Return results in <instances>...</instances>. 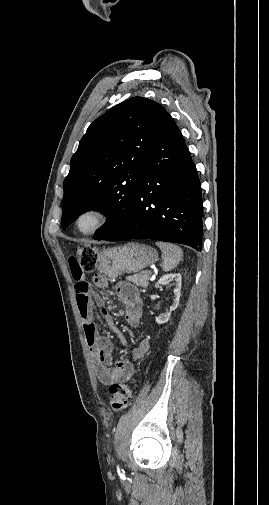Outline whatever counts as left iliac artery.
<instances>
[{"label":"left iliac artery","instance_id":"left-iliac-artery-1","mask_svg":"<svg viewBox=\"0 0 269 505\" xmlns=\"http://www.w3.org/2000/svg\"><path fill=\"white\" fill-rule=\"evenodd\" d=\"M117 472H118L120 475H123V473H124L123 469H121L119 466H117Z\"/></svg>","mask_w":269,"mask_h":505}]
</instances>
